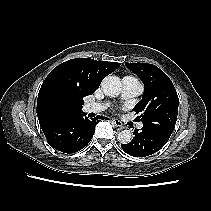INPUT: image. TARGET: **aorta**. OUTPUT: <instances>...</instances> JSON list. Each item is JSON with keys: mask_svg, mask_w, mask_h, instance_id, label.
Returning <instances> with one entry per match:
<instances>
[{"mask_svg": "<svg viewBox=\"0 0 211 211\" xmlns=\"http://www.w3.org/2000/svg\"><path fill=\"white\" fill-rule=\"evenodd\" d=\"M101 87L105 95L117 97L121 92L122 84L119 77L109 75L103 79ZM117 139L122 144H128L132 140V132L129 129L122 130L117 134Z\"/></svg>", "mask_w": 211, "mask_h": 211, "instance_id": "obj_1", "label": "aorta"}]
</instances>
